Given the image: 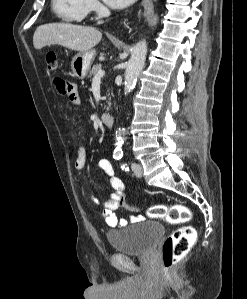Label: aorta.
<instances>
[{
  "label": "aorta",
  "mask_w": 247,
  "mask_h": 299,
  "mask_svg": "<svg viewBox=\"0 0 247 299\" xmlns=\"http://www.w3.org/2000/svg\"><path fill=\"white\" fill-rule=\"evenodd\" d=\"M147 55V43L145 40L139 41L134 45L131 50V56L128 60L127 67L125 70V81H124V92L125 94L130 93L136 86L138 77L144 68L145 60ZM123 128L116 130V143L114 152L119 154L121 152V146L124 143Z\"/></svg>",
  "instance_id": "obj_1"
}]
</instances>
